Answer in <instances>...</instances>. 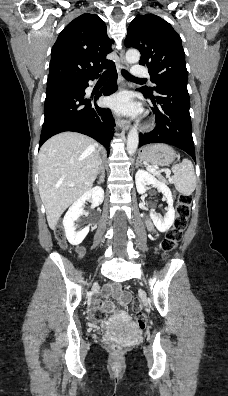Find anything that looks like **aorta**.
Here are the masks:
<instances>
[{"instance_id": "obj_1", "label": "aorta", "mask_w": 228, "mask_h": 396, "mask_svg": "<svg viewBox=\"0 0 228 396\" xmlns=\"http://www.w3.org/2000/svg\"><path fill=\"white\" fill-rule=\"evenodd\" d=\"M140 60V53L136 49H130L126 52V61L128 63H137ZM139 144L138 131L135 127L131 128L127 138V152L132 155L136 152Z\"/></svg>"}]
</instances>
